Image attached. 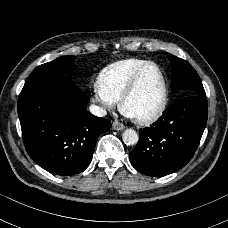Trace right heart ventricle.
Instances as JSON below:
<instances>
[{"instance_id": "e07e8e85", "label": "right heart ventricle", "mask_w": 228, "mask_h": 228, "mask_svg": "<svg viewBox=\"0 0 228 228\" xmlns=\"http://www.w3.org/2000/svg\"><path fill=\"white\" fill-rule=\"evenodd\" d=\"M149 63L152 61L129 58L107 65L97 78L99 92L112 101L119 102L136 72Z\"/></svg>"}]
</instances>
